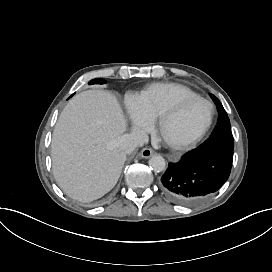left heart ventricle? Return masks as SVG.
I'll return each instance as SVG.
<instances>
[{"mask_svg": "<svg viewBox=\"0 0 272 272\" xmlns=\"http://www.w3.org/2000/svg\"><path fill=\"white\" fill-rule=\"evenodd\" d=\"M206 116V106L201 102H193L182 113L170 119L169 126L175 134H190L204 124Z\"/></svg>", "mask_w": 272, "mask_h": 272, "instance_id": "obj_1", "label": "left heart ventricle"}]
</instances>
